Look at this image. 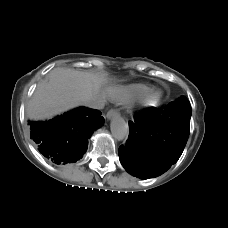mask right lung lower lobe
Returning a JSON list of instances; mask_svg holds the SVG:
<instances>
[{
    "label": "right lung lower lobe",
    "instance_id": "98d812e1",
    "mask_svg": "<svg viewBox=\"0 0 228 228\" xmlns=\"http://www.w3.org/2000/svg\"><path fill=\"white\" fill-rule=\"evenodd\" d=\"M103 123L99 110L78 107L46 122H29V131L45 157L56 164H66L82 157L88 138Z\"/></svg>",
    "mask_w": 228,
    "mask_h": 228
}]
</instances>
